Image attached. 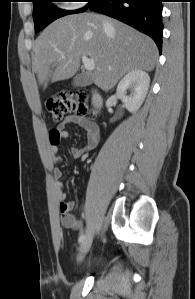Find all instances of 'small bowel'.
I'll list each match as a JSON object with an SVG mask.
<instances>
[{"instance_id": "obj_1", "label": "small bowel", "mask_w": 195, "mask_h": 299, "mask_svg": "<svg viewBox=\"0 0 195 299\" xmlns=\"http://www.w3.org/2000/svg\"><path fill=\"white\" fill-rule=\"evenodd\" d=\"M69 124H76L82 127L86 132L85 145L83 147H73L71 149V156L73 158L77 159L84 157L85 154L94 150L100 141V130L95 123L83 117L75 115L69 116L60 126L53 129L49 135L50 151L55 164L60 162V158L57 155L60 142L67 139L70 135L67 130V125ZM62 176V170L55 167L53 169V177L56 181L54 189L55 195L59 201L60 223L66 229L78 230L82 223L81 220L72 213L75 203L66 200V195L60 183Z\"/></svg>"}]
</instances>
